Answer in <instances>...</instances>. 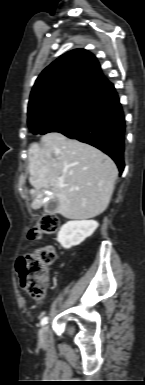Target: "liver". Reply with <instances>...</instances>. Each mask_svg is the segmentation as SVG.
Instances as JSON below:
<instances>
[{
	"instance_id": "obj_1",
	"label": "liver",
	"mask_w": 145,
	"mask_h": 385,
	"mask_svg": "<svg viewBox=\"0 0 145 385\" xmlns=\"http://www.w3.org/2000/svg\"><path fill=\"white\" fill-rule=\"evenodd\" d=\"M32 208L57 201L67 219H89L107 208L118 176L113 160L97 148L59 132L41 137L28 150ZM63 185V186H61Z\"/></svg>"
}]
</instances>
